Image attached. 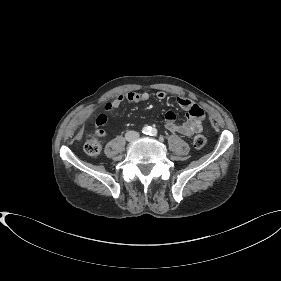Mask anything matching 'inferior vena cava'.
Segmentation results:
<instances>
[{
	"mask_svg": "<svg viewBox=\"0 0 281 281\" xmlns=\"http://www.w3.org/2000/svg\"><path fill=\"white\" fill-rule=\"evenodd\" d=\"M125 138L127 141H135L139 138V133L136 131H128L125 134Z\"/></svg>",
	"mask_w": 281,
	"mask_h": 281,
	"instance_id": "602c4592",
	"label": "inferior vena cava"
}]
</instances>
